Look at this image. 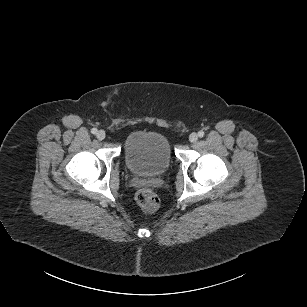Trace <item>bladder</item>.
I'll list each match as a JSON object with an SVG mask.
<instances>
[{
    "mask_svg": "<svg viewBox=\"0 0 307 307\" xmlns=\"http://www.w3.org/2000/svg\"><path fill=\"white\" fill-rule=\"evenodd\" d=\"M127 168L138 176H157L167 170L172 147L166 135L139 130L131 133L124 144Z\"/></svg>",
    "mask_w": 307,
    "mask_h": 307,
    "instance_id": "1",
    "label": "bladder"
}]
</instances>
